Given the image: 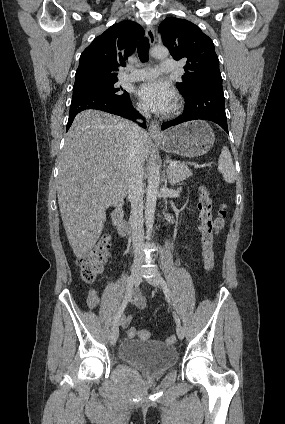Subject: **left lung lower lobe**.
<instances>
[{
    "label": "left lung lower lobe",
    "instance_id": "0a47b994",
    "mask_svg": "<svg viewBox=\"0 0 285 424\" xmlns=\"http://www.w3.org/2000/svg\"><path fill=\"white\" fill-rule=\"evenodd\" d=\"M184 97V113L174 120L164 122L162 130L183 122L203 119L217 123L228 133L222 84L196 87Z\"/></svg>",
    "mask_w": 285,
    "mask_h": 424
}]
</instances>
